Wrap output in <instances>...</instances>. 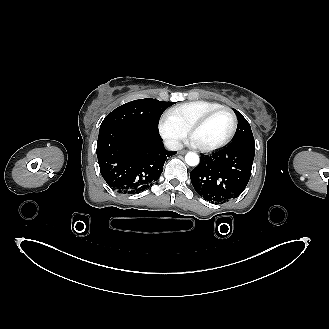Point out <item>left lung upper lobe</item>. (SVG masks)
Wrapping results in <instances>:
<instances>
[{
  "instance_id": "obj_1",
  "label": "left lung upper lobe",
  "mask_w": 329,
  "mask_h": 329,
  "mask_svg": "<svg viewBox=\"0 0 329 329\" xmlns=\"http://www.w3.org/2000/svg\"><path fill=\"white\" fill-rule=\"evenodd\" d=\"M234 112L238 118V126L235 136L228 146H233L242 143L254 144V137L249 123L240 112L235 109Z\"/></svg>"
}]
</instances>
